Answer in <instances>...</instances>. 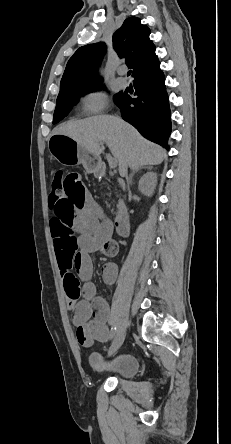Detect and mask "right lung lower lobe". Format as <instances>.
<instances>
[{
  "label": "right lung lower lobe",
  "instance_id": "98d812e1",
  "mask_svg": "<svg viewBox=\"0 0 231 444\" xmlns=\"http://www.w3.org/2000/svg\"><path fill=\"white\" fill-rule=\"evenodd\" d=\"M137 98L123 95L116 101L124 120L144 137L169 149L171 133L170 108L160 65L134 79Z\"/></svg>",
  "mask_w": 231,
  "mask_h": 444
}]
</instances>
